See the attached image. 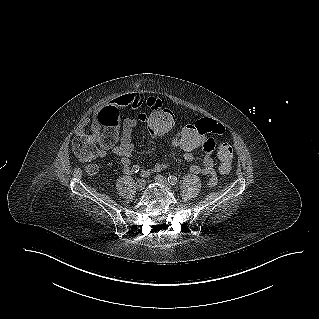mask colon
Returning <instances> with one entry per match:
<instances>
[{
    "mask_svg": "<svg viewBox=\"0 0 319 319\" xmlns=\"http://www.w3.org/2000/svg\"><path fill=\"white\" fill-rule=\"evenodd\" d=\"M176 120L177 117L173 109L171 113H153L151 111L148 126L152 134L162 137L170 133ZM221 126L205 116L196 117L193 125L184 126L177 133L176 139L180 150L187 155L198 150L203 151L205 140L211 138L212 133L217 129L222 130L223 136L219 140H223L226 137V130ZM72 149L80 160L87 163L88 171L94 173L95 166L92 161L99 155L100 151L90 143L89 138H75ZM217 156L221 162L220 171L223 174L229 173L233 160L232 147L228 143H221L217 149Z\"/></svg>",
    "mask_w": 319,
    "mask_h": 319,
    "instance_id": "1",
    "label": "colon"
}]
</instances>
